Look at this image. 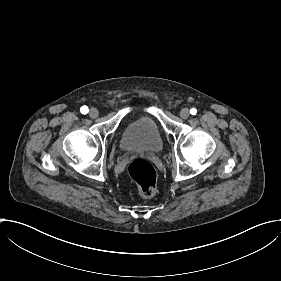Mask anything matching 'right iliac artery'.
<instances>
[{
  "mask_svg": "<svg viewBox=\"0 0 281 281\" xmlns=\"http://www.w3.org/2000/svg\"><path fill=\"white\" fill-rule=\"evenodd\" d=\"M80 112L85 115L89 112V109L86 105H84L80 108Z\"/></svg>",
  "mask_w": 281,
  "mask_h": 281,
  "instance_id": "1",
  "label": "right iliac artery"
}]
</instances>
